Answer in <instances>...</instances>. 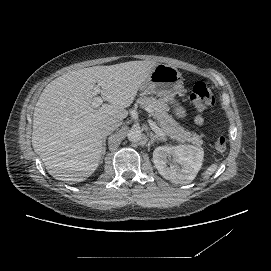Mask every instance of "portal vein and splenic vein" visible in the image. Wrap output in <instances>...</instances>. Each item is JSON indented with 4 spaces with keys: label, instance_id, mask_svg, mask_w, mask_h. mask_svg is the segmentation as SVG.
Here are the masks:
<instances>
[{
    "label": "portal vein and splenic vein",
    "instance_id": "portal-vein-and-splenic-vein-1",
    "mask_svg": "<svg viewBox=\"0 0 271 271\" xmlns=\"http://www.w3.org/2000/svg\"><path fill=\"white\" fill-rule=\"evenodd\" d=\"M100 87L97 85L94 87V93L97 95L100 93ZM103 103V99L101 97H95L94 98V101L92 102V105L95 106V107H99L101 106ZM151 128L152 130L158 135V136H161V137H164L165 134L164 132L154 123V122H151Z\"/></svg>",
    "mask_w": 271,
    "mask_h": 271
}]
</instances>
